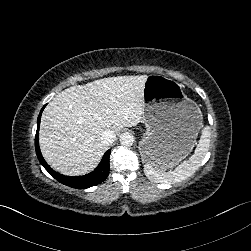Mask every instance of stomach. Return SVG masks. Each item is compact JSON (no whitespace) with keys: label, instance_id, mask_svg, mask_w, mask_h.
Here are the masks:
<instances>
[{"label":"stomach","instance_id":"stomach-1","mask_svg":"<svg viewBox=\"0 0 251 251\" xmlns=\"http://www.w3.org/2000/svg\"><path fill=\"white\" fill-rule=\"evenodd\" d=\"M142 156L158 170L173 168L192 150L203 124L199 106L182 84L159 74L148 76L143 90Z\"/></svg>","mask_w":251,"mask_h":251}]
</instances>
